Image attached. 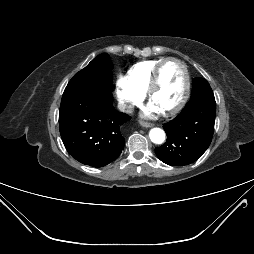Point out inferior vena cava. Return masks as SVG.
<instances>
[{"instance_id": "inferior-vena-cava-1", "label": "inferior vena cava", "mask_w": 254, "mask_h": 254, "mask_svg": "<svg viewBox=\"0 0 254 254\" xmlns=\"http://www.w3.org/2000/svg\"><path fill=\"white\" fill-rule=\"evenodd\" d=\"M118 109L120 111L124 112V111H126L128 109V105L126 103H124V102H119L118 103Z\"/></svg>"}]
</instances>
